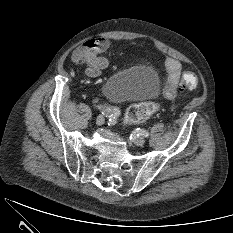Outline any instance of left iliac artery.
I'll return each mask as SVG.
<instances>
[{
  "label": "left iliac artery",
  "mask_w": 233,
  "mask_h": 233,
  "mask_svg": "<svg viewBox=\"0 0 233 233\" xmlns=\"http://www.w3.org/2000/svg\"><path fill=\"white\" fill-rule=\"evenodd\" d=\"M139 134L144 136V137H148L149 136V133L146 131V130H139Z\"/></svg>",
  "instance_id": "44dca946"
}]
</instances>
